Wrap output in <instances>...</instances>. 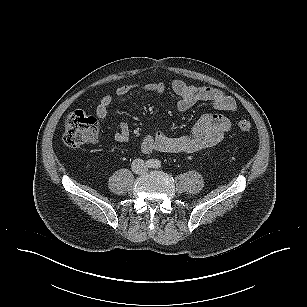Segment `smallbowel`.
I'll use <instances>...</instances> for the list:
<instances>
[{
  "mask_svg": "<svg viewBox=\"0 0 307 307\" xmlns=\"http://www.w3.org/2000/svg\"><path fill=\"white\" fill-rule=\"evenodd\" d=\"M167 87L161 82L128 83L115 89V95L125 96L132 91L162 94ZM169 89L178 96L176 107L180 111H186L199 102H209L216 111L235 112L238 108L236 100L230 95L215 88L195 87L182 80H174L169 84ZM111 94L104 95L97 108L96 115L105 120L108 108L112 103ZM232 127L231 121L218 113L209 112L200 117L189 134L169 137L161 131L154 135L144 137L141 142V150L144 153L154 151L167 153H195L217 145ZM114 139L118 143H127L130 131L126 123L120 122L117 129L112 131Z\"/></svg>",
  "mask_w": 307,
  "mask_h": 307,
  "instance_id": "small-bowel-1",
  "label": "small bowel"
}]
</instances>
